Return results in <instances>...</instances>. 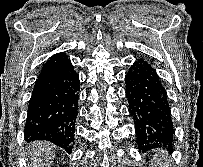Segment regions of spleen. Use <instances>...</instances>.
Listing matches in <instances>:
<instances>
[{"mask_svg":"<svg viewBox=\"0 0 203 167\" xmlns=\"http://www.w3.org/2000/svg\"><path fill=\"white\" fill-rule=\"evenodd\" d=\"M165 156V153L164 152H160L157 154V164L160 163V160L162 159L161 157ZM164 160H166L165 158H163ZM162 163V162H161ZM162 167H169L166 163L163 164Z\"/></svg>","mask_w":203,"mask_h":167,"instance_id":"obj_1","label":"spleen"}]
</instances>
